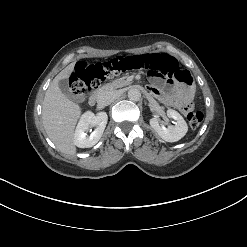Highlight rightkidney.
Masks as SVG:
<instances>
[{
	"instance_id": "ca27d5eb",
	"label": "right kidney",
	"mask_w": 247,
	"mask_h": 247,
	"mask_svg": "<svg viewBox=\"0 0 247 247\" xmlns=\"http://www.w3.org/2000/svg\"><path fill=\"white\" fill-rule=\"evenodd\" d=\"M108 116L106 112H99L96 115L90 111L85 112L76 127L74 133V144L79 148H90L94 146L102 137L106 127ZM89 127H95V130L87 135Z\"/></svg>"
}]
</instances>
